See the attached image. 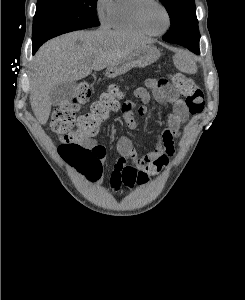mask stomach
Segmentation results:
<instances>
[{
    "instance_id": "0dacf381",
    "label": "stomach",
    "mask_w": 245,
    "mask_h": 300,
    "mask_svg": "<svg viewBox=\"0 0 245 300\" xmlns=\"http://www.w3.org/2000/svg\"><path fill=\"white\" fill-rule=\"evenodd\" d=\"M160 52L152 46H144L136 49L125 58L107 67L106 76L114 78L122 75L132 68H143L156 62Z\"/></svg>"
}]
</instances>
